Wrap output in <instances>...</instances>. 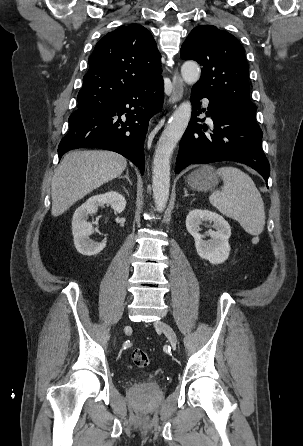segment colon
<instances>
[{
	"instance_id": "colon-1",
	"label": "colon",
	"mask_w": 303,
	"mask_h": 446,
	"mask_svg": "<svg viewBox=\"0 0 303 446\" xmlns=\"http://www.w3.org/2000/svg\"><path fill=\"white\" fill-rule=\"evenodd\" d=\"M132 360L138 368H146L150 363L149 355L140 349H136L132 353Z\"/></svg>"
}]
</instances>
